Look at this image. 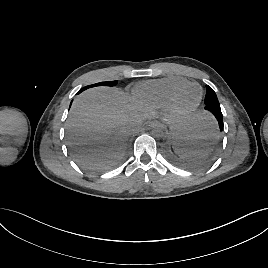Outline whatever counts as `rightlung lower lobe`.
Instances as JSON below:
<instances>
[{
    "label": "right lung lower lobe",
    "instance_id": "1",
    "mask_svg": "<svg viewBox=\"0 0 268 268\" xmlns=\"http://www.w3.org/2000/svg\"><path fill=\"white\" fill-rule=\"evenodd\" d=\"M83 90L81 89L79 92H78V94L80 93V92H82Z\"/></svg>",
    "mask_w": 268,
    "mask_h": 268
}]
</instances>
